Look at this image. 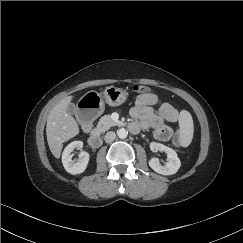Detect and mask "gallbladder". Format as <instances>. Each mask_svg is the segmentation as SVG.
<instances>
[{
    "mask_svg": "<svg viewBox=\"0 0 243 243\" xmlns=\"http://www.w3.org/2000/svg\"><path fill=\"white\" fill-rule=\"evenodd\" d=\"M66 110H67L68 114L73 115V114L76 113L77 108H76V106L73 103H69L67 108H66Z\"/></svg>",
    "mask_w": 243,
    "mask_h": 243,
    "instance_id": "1",
    "label": "gallbladder"
}]
</instances>
